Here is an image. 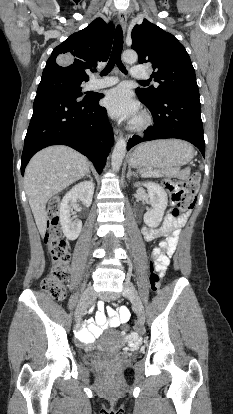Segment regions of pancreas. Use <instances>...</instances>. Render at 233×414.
I'll return each mask as SVG.
<instances>
[{"instance_id": "obj_1", "label": "pancreas", "mask_w": 233, "mask_h": 414, "mask_svg": "<svg viewBox=\"0 0 233 414\" xmlns=\"http://www.w3.org/2000/svg\"><path fill=\"white\" fill-rule=\"evenodd\" d=\"M141 175L147 174L145 177H162V176H170V177H178V178H187L190 174L189 171L180 172L178 170H171V171H158L148 168H143L139 170Z\"/></svg>"}]
</instances>
